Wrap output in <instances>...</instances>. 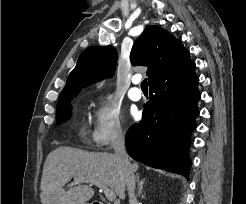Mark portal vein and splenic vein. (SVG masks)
Segmentation results:
<instances>
[{
  "mask_svg": "<svg viewBox=\"0 0 246 204\" xmlns=\"http://www.w3.org/2000/svg\"><path fill=\"white\" fill-rule=\"evenodd\" d=\"M82 182L91 183L96 185L103 193L109 201H114L116 198L115 191L109 188L104 182L98 179H83Z\"/></svg>",
  "mask_w": 246,
  "mask_h": 204,
  "instance_id": "18ae733b",
  "label": "portal vein and splenic vein"
}]
</instances>
